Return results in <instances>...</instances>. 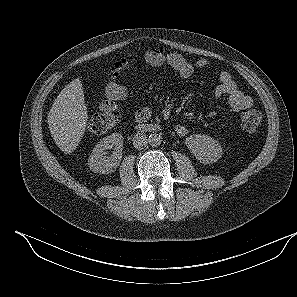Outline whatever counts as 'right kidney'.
<instances>
[{"instance_id": "obj_1", "label": "right kidney", "mask_w": 297, "mask_h": 297, "mask_svg": "<svg viewBox=\"0 0 297 297\" xmlns=\"http://www.w3.org/2000/svg\"><path fill=\"white\" fill-rule=\"evenodd\" d=\"M123 136L112 133L101 139L92 150L88 159V166L94 173L108 174L113 172L122 159ZM113 149L108 155L106 150Z\"/></svg>"}]
</instances>
